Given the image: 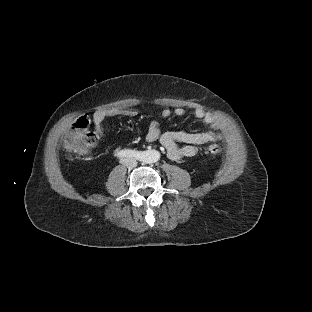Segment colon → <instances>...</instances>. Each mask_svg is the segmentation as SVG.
I'll return each instance as SVG.
<instances>
[{
	"label": "colon",
	"instance_id": "1",
	"mask_svg": "<svg viewBox=\"0 0 312 312\" xmlns=\"http://www.w3.org/2000/svg\"><path fill=\"white\" fill-rule=\"evenodd\" d=\"M88 126V120L82 116L76 117L71 122L73 132L65 138V145L71 156L87 154L95 146L96 137ZM219 151L218 145H210L206 150L210 155L218 154Z\"/></svg>",
	"mask_w": 312,
	"mask_h": 312
}]
</instances>
